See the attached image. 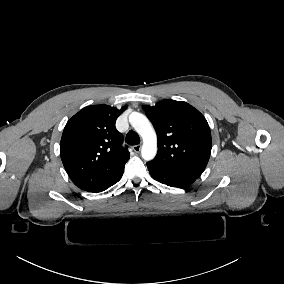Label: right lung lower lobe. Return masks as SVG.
<instances>
[{"label": "right lung lower lobe", "instance_id": "right-lung-lower-lobe-1", "mask_svg": "<svg viewBox=\"0 0 284 284\" xmlns=\"http://www.w3.org/2000/svg\"><path fill=\"white\" fill-rule=\"evenodd\" d=\"M123 171H124V170H123ZM123 171H122L119 175H117L109 184H107L106 186H104L102 189H100V190L97 191V192L104 191V190H106L107 188H109L110 186H112L113 184L117 183V182L120 180V178L122 177Z\"/></svg>", "mask_w": 284, "mask_h": 284}]
</instances>
